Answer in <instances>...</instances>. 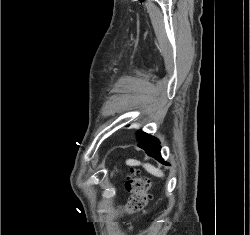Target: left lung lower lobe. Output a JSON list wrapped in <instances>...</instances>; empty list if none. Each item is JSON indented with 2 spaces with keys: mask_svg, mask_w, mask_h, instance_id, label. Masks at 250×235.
<instances>
[{
  "mask_svg": "<svg viewBox=\"0 0 250 235\" xmlns=\"http://www.w3.org/2000/svg\"><path fill=\"white\" fill-rule=\"evenodd\" d=\"M138 139H139V144L138 146L142 149L145 150V152L149 155L157 159L158 161L169 165L168 163L164 162L161 154H160V145L159 141L157 138L148 135L147 133H144L142 131L138 132Z\"/></svg>",
  "mask_w": 250,
  "mask_h": 235,
  "instance_id": "left-lung-lower-lobe-1",
  "label": "left lung lower lobe"
}]
</instances>
